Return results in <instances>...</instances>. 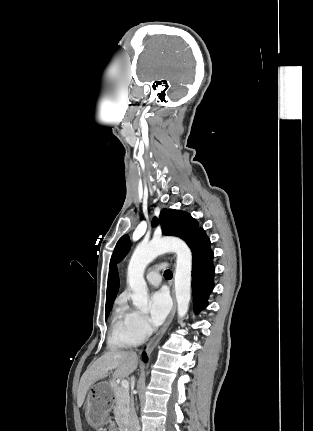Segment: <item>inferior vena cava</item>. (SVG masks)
<instances>
[{
	"instance_id": "1",
	"label": "inferior vena cava",
	"mask_w": 313,
	"mask_h": 431,
	"mask_svg": "<svg viewBox=\"0 0 313 431\" xmlns=\"http://www.w3.org/2000/svg\"><path fill=\"white\" fill-rule=\"evenodd\" d=\"M132 382H134V377H132ZM140 425L135 412V409L132 405L130 409V417H129V431H139Z\"/></svg>"
}]
</instances>
